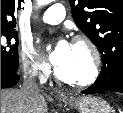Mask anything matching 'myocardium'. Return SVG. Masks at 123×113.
<instances>
[{"instance_id": "f54148a6", "label": "myocardium", "mask_w": 123, "mask_h": 113, "mask_svg": "<svg viewBox=\"0 0 123 113\" xmlns=\"http://www.w3.org/2000/svg\"><path fill=\"white\" fill-rule=\"evenodd\" d=\"M73 44H78L84 46L91 58V68L89 74L81 79H73V78H67L61 75L58 68L54 69V76L55 78L65 84L72 85V86H89L93 84L99 74H100V67H101V55L97 48V46L94 44V42L88 38L85 35H77L72 40Z\"/></svg>"}]
</instances>
